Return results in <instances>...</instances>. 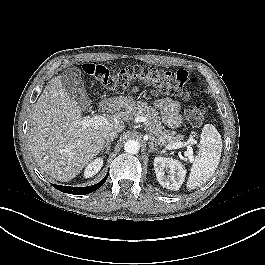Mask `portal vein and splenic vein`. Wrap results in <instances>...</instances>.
<instances>
[{"instance_id":"1","label":"portal vein and splenic vein","mask_w":265,"mask_h":265,"mask_svg":"<svg viewBox=\"0 0 265 265\" xmlns=\"http://www.w3.org/2000/svg\"><path fill=\"white\" fill-rule=\"evenodd\" d=\"M106 122V118L100 115H95L91 118H86V119H82L79 122H76L77 124L81 125L82 128H86L89 126H94V125H101L104 124ZM181 147H186L187 148V154L190 156V158L192 159V147L191 145H189V143L187 142H175L173 144H168L166 146L167 149H178Z\"/></svg>"}]
</instances>
